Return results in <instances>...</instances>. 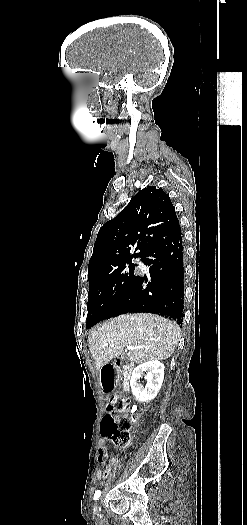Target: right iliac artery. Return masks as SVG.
I'll return each instance as SVG.
<instances>
[{"mask_svg": "<svg viewBox=\"0 0 247 525\" xmlns=\"http://www.w3.org/2000/svg\"><path fill=\"white\" fill-rule=\"evenodd\" d=\"M100 495H101V491H100V490H97V491L95 492V494H94V500H98L99 497H100Z\"/></svg>", "mask_w": 247, "mask_h": 525, "instance_id": "1", "label": "right iliac artery"}]
</instances>
